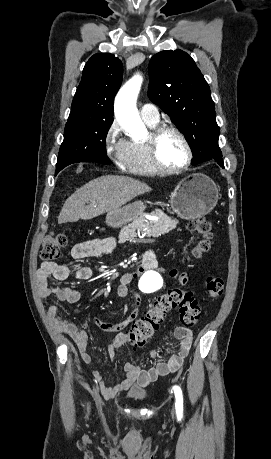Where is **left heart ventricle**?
I'll use <instances>...</instances> for the list:
<instances>
[{"instance_id": "left-heart-ventricle-1", "label": "left heart ventricle", "mask_w": 271, "mask_h": 459, "mask_svg": "<svg viewBox=\"0 0 271 459\" xmlns=\"http://www.w3.org/2000/svg\"><path fill=\"white\" fill-rule=\"evenodd\" d=\"M159 150L162 160L171 166L183 164L188 157L184 141L174 132H168L161 138Z\"/></svg>"}]
</instances>
